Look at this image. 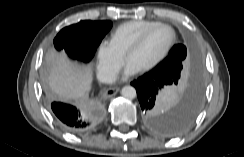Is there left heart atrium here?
Masks as SVG:
<instances>
[{"instance_id":"1","label":"left heart atrium","mask_w":244,"mask_h":157,"mask_svg":"<svg viewBox=\"0 0 244 157\" xmlns=\"http://www.w3.org/2000/svg\"><path fill=\"white\" fill-rule=\"evenodd\" d=\"M139 71V69L134 66L132 63L127 62L125 65V68L123 70L122 76L121 78L123 80L127 79L128 77L134 75L135 73H137Z\"/></svg>"}]
</instances>
